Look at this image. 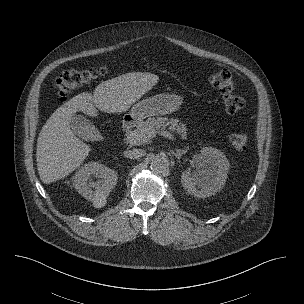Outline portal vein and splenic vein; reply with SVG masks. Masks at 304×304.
Segmentation results:
<instances>
[{"label":"portal vein and splenic vein","instance_id":"18ae733b","mask_svg":"<svg viewBox=\"0 0 304 304\" xmlns=\"http://www.w3.org/2000/svg\"><path fill=\"white\" fill-rule=\"evenodd\" d=\"M158 133H160L161 135H163L164 137H167L171 140H175V138L173 137L172 134H170L168 131H159ZM156 135V131H152L150 134H149V137L153 138L155 137ZM128 139H130V141H133V138L132 137H128Z\"/></svg>","mask_w":304,"mask_h":304}]
</instances>
